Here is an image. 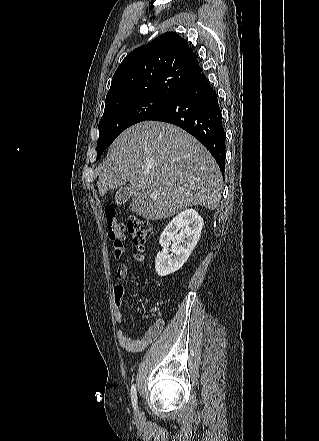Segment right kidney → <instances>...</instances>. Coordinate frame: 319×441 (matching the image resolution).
Returning <instances> with one entry per match:
<instances>
[{
    "mask_svg": "<svg viewBox=\"0 0 319 441\" xmlns=\"http://www.w3.org/2000/svg\"><path fill=\"white\" fill-rule=\"evenodd\" d=\"M203 224L202 217L194 209L181 212L169 222L159 240L163 250L155 261L159 276L172 274L183 266L200 239ZM170 245L172 253L168 255Z\"/></svg>",
    "mask_w": 319,
    "mask_h": 441,
    "instance_id": "right-kidney-1",
    "label": "right kidney"
}]
</instances>
